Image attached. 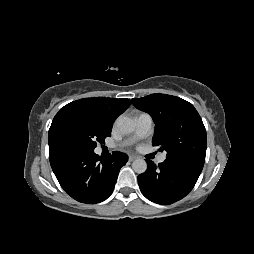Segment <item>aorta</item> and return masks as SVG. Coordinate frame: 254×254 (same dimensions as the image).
Wrapping results in <instances>:
<instances>
[{
  "label": "aorta",
  "instance_id": "obj_1",
  "mask_svg": "<svg viewBox=\"0 0 254 254\" xmlns=\"http://www.w3.org/2000/svg\"><path fill=\"white\" fill-rule=\"evenodd\" d=\"M117 129L123 134L132 133L135 129V122L133 119L127 116H120L116 120ZM133 170L138 173L142 174L147 170V163L144 159L138 158L135 159L132 163Z\"/></svg>",
  "mask_w": 254,
  "mask_h": 254
}]
</instances>
